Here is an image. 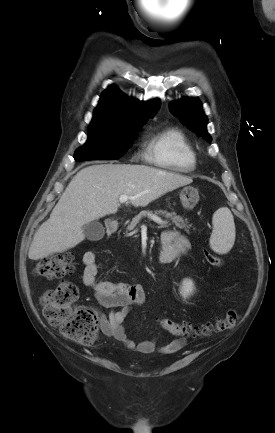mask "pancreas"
<instances>
[{"instance_id": "cf45deb5", "label": "pancreas", "mask_w": 275, "mask_h": 433, "mask_svg": "<svg viewBox=\"0 0 275 433\" xmlns=\"http://www.w3.org/2000/svg\"><path fill=\"white\" fill-rule=\"evenodd\" d=\"M153 213V211H141L137 216H135L132 221L130 222V224H128L127 228H126V232L128 231H132L136 225L139 223V221L146 215H151ZM154 213L156 215H162L165 217L166 219V223L170 221H172L173 224H175V226L179 229H185L186 231H189L190 229V225H188V222L186 219H183L181 216L176 215L174 212L173 213H168L166 211H154Z\"/></svg>"}]
</instances>
